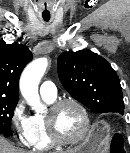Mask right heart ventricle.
I'll list each match as a JSON object with an SVG mask.
<instances>
[{"label":"right heart ventricle","instance_id":"e07e8e85","mask_svg":"<svg viewBox=\"0 0 130 153\" xmlns=\"http://www.w3.org/2000/svg\"><path fill=\"white\" fill-rule=\"evenodd\" d=\"M44 101L48 104H51L55 99H50L42 96ZM31 125V146L36 151H46L51 149L54 146V142L49 136L45 116L41 114H34L30 117Z\"/></svg>","mask_w":130,"mask_h":153}]
</instances>
